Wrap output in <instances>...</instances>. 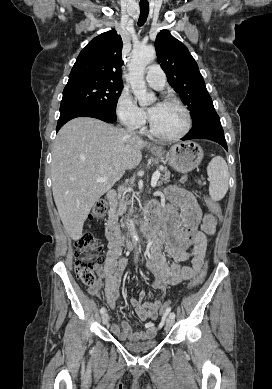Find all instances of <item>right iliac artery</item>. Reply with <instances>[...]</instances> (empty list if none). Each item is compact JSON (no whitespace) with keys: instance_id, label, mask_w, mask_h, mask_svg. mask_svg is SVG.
<instances>
[{"instance_id":"82829eb1","label":"right iliac artery","mask_w":272,"mask_h":389,"mask_svg":"<svg viewBox=\"0 0 272 389\" xmlns=\"http://www.w3.org/2000/svg\"><path fill=\"white\" fill-rule=\"evenodd\" d=\"M136 260H137V256H136ZM105 312H106L105 307H102V308L100 309V313L103 314V313H105Z\"/></svg>"}]
</instances>
